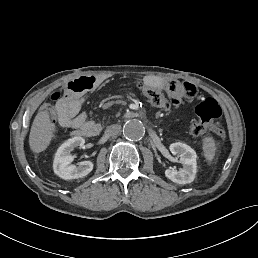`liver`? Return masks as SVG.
<instances>
[{"mask_svg": "<svg viewBox=\"0 0 258 258\" xmlns=\"http://www.w3.org/2000/svg\"><path fill=\"white\" fill-rule=\"evenodd\" d=\"M52 129L53 126L49 122L48 113H38L29 136L30 146L34 152L40 153L47 148L52 137Z\"/></svg>", "mask_w": 258, "mask_h": 258, "instance_id": "obj_1", "label": "liver"}]
</instances>
